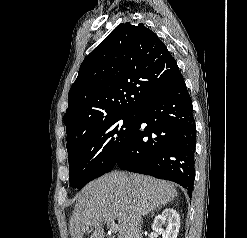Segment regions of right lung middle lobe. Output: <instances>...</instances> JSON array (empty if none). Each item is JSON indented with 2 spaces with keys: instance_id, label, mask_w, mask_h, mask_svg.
Listing matches in <instances>:
<instances>
[{
  "instance_id": "obj_1",
  "label": "right lung middle lobe",
  "mask_w": 247,
  "mask_h": 238,
  "mask_svg": "<svg viewBox=\"0 0 247 238\" xmlns=\"http://www.w3.org/2000/svg\"><path fill=\"white\" fill-rule=\"evenodd\" d=\"M136 113L122 114L87 129L67 146L70 185L81 189L111 171L136 125Z\"/></svg>"
}]
</instances>
